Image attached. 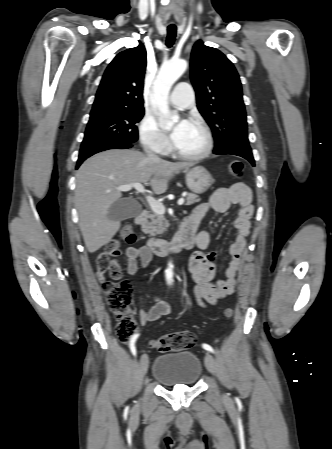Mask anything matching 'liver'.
Listing matches in <instances>:
<instances>
[{
  "instance_id": "1",
  "label": "liver",
  "mask_w": 332,
  "mask_h": 449,
  "mask_svg": "<svg viewBox=\"0 0 332 449\" xmlns=\"http://www.w3.org/2000/svg\"><path fill=\"white\" fill-rule=\"evenodd\" d=\"M187 163L151 160L134 150H108L87 159L76 174L75 203L87 250L93 253L111 241L120 221L108 218L110 206L120 199V185L148 183L156 194L166 191L174 173Z\"/></svg>"
}]
</instances>
